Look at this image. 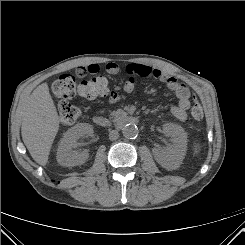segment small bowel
I'll return each mask as SVG.
<instances>
[{"instance_id":"small-bowel-1","label":"small bowel","mask_w":245,"mask_h":245,"mask_svg":"<svg viewBox=\"0 0 245 245\" xmlns=\"http://www.w3.org/2000/svg\"><path fill=\"white\" fill-rule=\"evenodd\" d=\"M99 70V64L91 63L89 65L79 67L77 69V75L79 77H83L86 74H96ZM105 70L110 75H117L120 72V67L114 62H108L105 64ZM126 72L128 77L123 84L122 91L111 90L108 93V100L110 103H116L124 99L125 94L132 93L136 88L138 77L154 78L164 82L168 89L177 97V103L171 107V113L173 116L179 121H185L188 118V110L191 106L190 91L185 84L179 82L175 77L159 68L145 64H128L126 66Z\"/></svg>"}]
</instances>
